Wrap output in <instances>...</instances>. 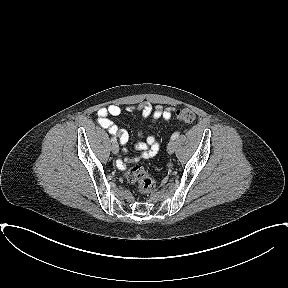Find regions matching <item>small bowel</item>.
<instances>
[{
	"label": "small bowel",
	"mask_w": 288,
	"mask_h": 288,
	"mask_svg": "<svg viewBox=\"0 0 288 288\" xmlns=\"http://www.w3.org/2000/svg\"><path fill=\"white\" fill-rule=\"evenodd\" d=\"M129 113H139L143 118H150L152 123H155L159 119L169 121L171 119L173 108H163L160 105L153 107L149 103H143L138 106H130L126 108ZM122 113V109L118 105H109L108 107L100 108L97 112L98 123L104 129H107L109 133L118 137L120 143L125 145L129 140V134L126 130L119 128L114 124L109 116H119ZM139 137H142V132H139ZM135 148L140 152V159H149L153 157L160 148L159 140L155 135H148L144 140L140 139L136 142ZM131 162H137L139 158H128ZM119 168H124V163L118 161Z\"/></svg>",
	"instance_id": "obj_1"
}]
</instances>
